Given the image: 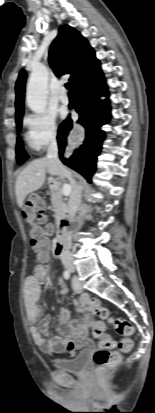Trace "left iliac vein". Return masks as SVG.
<instances>
[{
    "mask_svg": "<svg viewBox=\"0 0 155 413\" xmlns=\"http://www.w3.org/2000/svg\"><path fill=\"white\" fill-rule=\"evenodd\" d=\"M72 287L76 293H81L83 291L82 285L76 277L72 280Z\"/></svg>",
    "mask_w": 155,
    "mask_h": 413,
    "instance_id": "4c4485c4",
    "label": "left iliac vein"
}]
</instances>
